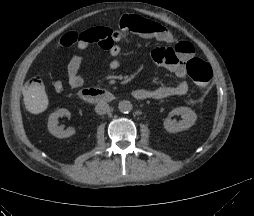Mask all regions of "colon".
Instances as JSON below:
<instances>
[{
	"instance_id": "colon-1",
	"label": "colon",
	"mask_w": 254,
	"mask_h": 216,
	"mask_svg": "<svg viewBox=\"0 0 254 216\" xmlns=\"http://www.w3.org/2000/svg\"><path fill=\"white\" fill-rule=\"evenodd\" d=\"M82 39L87 43H95L101 46H108L112 43L109 30L104 28L88 29L80 33ZM171 53L170 50L167 51ZM186 70L193 82L201 88L206 87L212 79L213 70L206 61L192 57L187 61ZM24 106L30 112H41L47 106V95L40 77H33L23 89Z\"/></svg>"
}]
</instances>
